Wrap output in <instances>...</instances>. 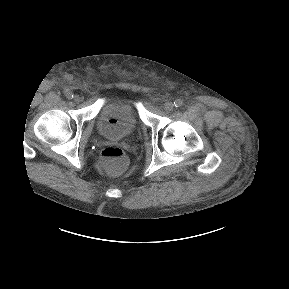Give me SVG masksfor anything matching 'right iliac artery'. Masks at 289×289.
<instances>
[{
  "label": "right iliac artery",
  "instance_id": "82829eb1",
  "mask_svg": "<svg viewBox=\"0 0 289 289\" xmlns=\"http://www.w3.org/2000/svg\"><path fill=\"white\" fill-rule=\"evenodd\" d=\"M66 97H67L68 99H72V98L74 97V95L72 94V92H67V93H66Z\"/></svg>",
  "mask_w": 289,
  "mask_h": 289
}]
</instances>
